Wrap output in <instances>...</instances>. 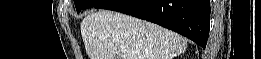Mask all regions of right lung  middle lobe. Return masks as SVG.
<instances>
[{"mask_svg":"<svg viewBox=\"0 0 261 59\" xmlns=\"http://www.w3.org/2000/svg\"><path fill=\"white\" fill-rule=\"evenodd\" d=\"M103 0H75V7L79 13L82 9H87L96 6Z\"/></svg>","mask_w":261,"mask_h":59,"instance_id":"right-lung-middle-lobe-1","label":"right lung middle lobe"}]
</instances>
